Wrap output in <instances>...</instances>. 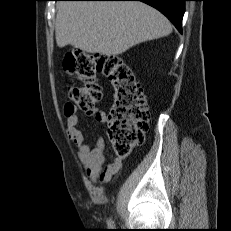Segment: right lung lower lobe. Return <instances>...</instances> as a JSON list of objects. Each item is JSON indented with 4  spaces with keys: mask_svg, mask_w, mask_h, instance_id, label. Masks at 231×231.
<instances>
[{
    "mask_svg": "<svg viewBox=\"0 0 231 231\" xmlns=\"http://www.w3.org/2000/svg\"><path fill=\"white\" fill-rule=\"evenodd\" d=\"M85 1H142L162 12L182 32L186 0H85Z\"/></svg>",
    "mask_w": 231,
    "mask_h": 231,
    "instance_id": "right-lung-lower-lobe-1",
    "label": "right lung lower lobe"
}]
</instances>
